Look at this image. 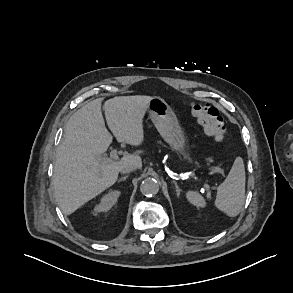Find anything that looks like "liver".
Returning <instances> with one entry per match:
<instances>
[{
  "instance_id": "6515ba94",
  "label": "liver",
  "mask_w": 293,
  "mask_h": 293,
  "mask_svg": "<svg viewBox=\"0 0 293 293\" xmlns=\"http://www.w3.org/2000/svg\"><path fill=\"white\" fill-rule=\"evenodd\" d=\"M152 97L119 96L104 103L107 124L118 142L138 146L144 141L143 118ZM112 143L105 126L101 99H95L68 120L65 139L58 146L54 165L53 186L56 201L65 215H70L85 203L111 187L120 168L134 163L142 168L139 155L126 154L119 161L101 163L99 157Z\"/></svg>"
}]
</instances>
